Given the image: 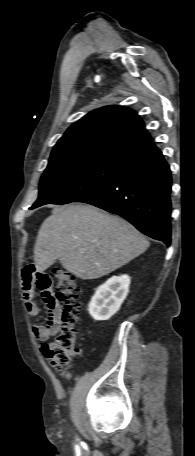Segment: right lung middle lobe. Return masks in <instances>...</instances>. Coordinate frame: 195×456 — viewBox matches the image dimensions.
Returning a JSON list of instances; mask_svg holds the SVG:
<instances>
[{
	"label": "right lung middle lobe",
	"mask_w": 195,
	"mask_h": 456,
	"mask_svg": "<svg viewBox=\"0 0 195 456\" xmlns=\"http://www.w3.org/2000/svg\"><path fill=\"white\" fill-rule=\"evenodd\" d=\"M122 168L94 160L49 163L40 181L38 200L31 209L75 202L104 185Z\"/></svg>",
	"instance_id": "obj_1"
}]
</instances>
